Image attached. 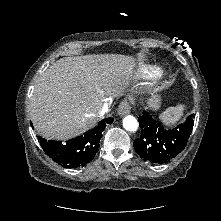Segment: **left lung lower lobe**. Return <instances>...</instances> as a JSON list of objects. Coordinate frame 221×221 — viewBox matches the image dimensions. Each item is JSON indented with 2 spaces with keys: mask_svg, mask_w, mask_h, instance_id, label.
Segmentation results:
<instances>
[{
  "mask_svg": "<svg viewBox=\"0 0 221 221\" xmlns=\"http://www.w3.org/2000/svg\"><path fill=\"white\" fill-rule=\"evenodd\" d=\"M194 115L173 129H165L148 112L139 117L141 135L133 143L141 158L152 163H167L184 148L193 129Z\"/></svg>",
  "mask_w": 221,
  "mask_h": 221,
  "instance_id": "1",
  "label": "left lung lower lobe"
}]
</instances>
